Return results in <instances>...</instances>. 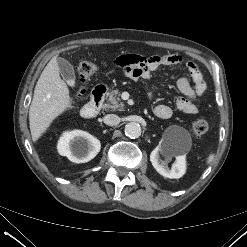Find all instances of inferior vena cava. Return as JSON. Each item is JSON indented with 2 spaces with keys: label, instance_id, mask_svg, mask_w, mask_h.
Here are the masks:
<instances>
[{
  "label": "inferior vena cava",
  "instance_id": "602c4592",
  "mask_svg": "<svg viewBox=\"0 0 247 247\" xmlns=\"http://www.w3.org/2000/svg\"><path fill=\"white\" fill-rule=\"evenodd\" d=\"M104 123L109 126H116L120 123V117L116 114H107L104 116Z\"/></svg>",
  "mask_w": 247,
  "mask_h": 247
}]
</instances>
